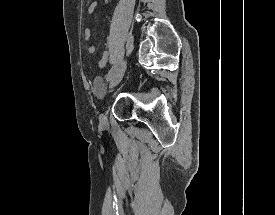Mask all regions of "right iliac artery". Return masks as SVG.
<instances>
[{
    "instance_id": "right-iliac-artery-1",
    "label": "right iliac artery",
    "mask_w": 275,
    "mask_h": 215,
    "mask_svg": "<svg viewBox=\"0 0 275 215\" xmlns=\"http://www.w3.org/2000/svg\"><path fill=\"white\" fill-rule=\"evenodd\" d=\"M117 69V63H114L111 70L109 71V73L107 74V80L110 79V77L112 76L113 72Z\"/></svg>"
}]
</instances>
